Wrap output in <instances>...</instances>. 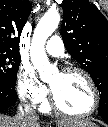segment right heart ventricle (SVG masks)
I'll return each instance as SVG.
<instances>
[{
	"mask_svg": "<svg viewBox=\"0 0 108 127\" xmlns=\"http://www.w3.org/2000/svg\"><path fill=\"white\" fill-rule=\"evenodd\" d=\"M42 109H43L44 111H49V110H50L49 104H48L47 102H43V104H42Z\"/></svg>",
	"mask_w": 108,
	"mask_h": 127,
	"instance_id": "right-heart-ventricle-1",
	"label": "right heart ventricle"
}]
</instances>
